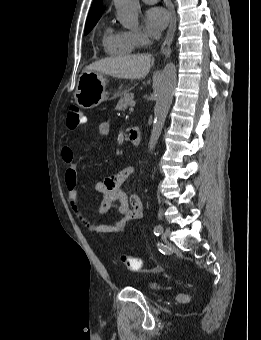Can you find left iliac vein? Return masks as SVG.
<instances>
[{"mask_svg":"<svg viewBox=\"0 0 261 340\" xmlns=\"http://www.w3.org/2000/svg\"><path fill=\"white\" fill-rule=\"evenodd\" d=\"M169 235H170V229L166 228L165 230H163L161 234L163 241H166Z\"/></svg>","mask_w":261,"mask_h":340,"instance_id":"left-iliac-vein-1","label":"left iliac vein"}]
</instances>
